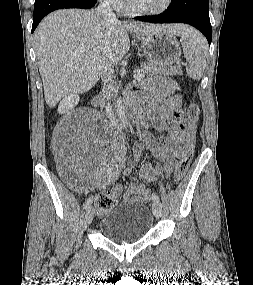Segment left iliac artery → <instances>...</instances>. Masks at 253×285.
I'll return each mask as SVG.
<instances>
[{"instance_id": "left-iliac-artery-1", "label": "left iliac artery", "mask_w": 253, "mask_h": 285, "mask_svg": "<svg viewBox=\"0 0 253 285\" xmlns=\"http://www.w3.org/2000/svg\"><path fill=\"white\" fill-rule=\"evenodd\" d=\"M152 200H153L154 202H157V203L160 202L158 195H156L155 193L152 194Z\"/></svg>"}]
</instances>
